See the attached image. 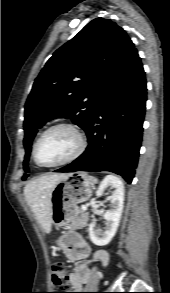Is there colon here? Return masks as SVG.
<instances>
[{
    "label": "colon",
    "mask_w": 170,
    "mask_h": 293,
    "mask_svg": "<svg viewBox=\"0 0 170 293\" xmlns=\"http://www.w3.org/2000/svg\"><path fill=\"white\" fill-rule=\"evenodd\" d=\"M67 269L62 263H56L52 269L53 282L55 286L60 289V292L55 293H66L65 290V281L67 279Z\"/></svg>",
    "instance_id": "colon-1"
}]
</instances>
